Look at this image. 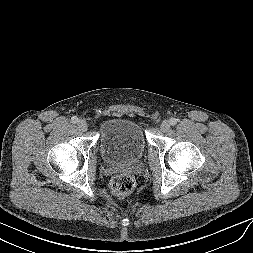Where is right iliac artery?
<instances>
[{
	"mask_svg": "<svg viewBox=\"0 0 253 253\" xmlns=\"http://www.w3.org/2000/svg\"><path fill=\"white\" fill-rule=\"evenodd\" d=\"M71 122H72V123H77V122H78V118H77L76 116H73V117L71 118Z\"/></svg>",
	"mask_w": 253,
	"mask_h": 253,
	"instance_id": "1",
	"label": "right iliac artery"
}]
</instances>
